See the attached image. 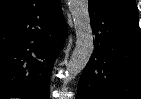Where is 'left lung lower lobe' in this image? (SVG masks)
Wrapping results in <instances>:
<instances>
[{
	"label": "left lung lower lobe",
	"instance_id": "0a47b994",
	"mask_svg": "<svg viewBox=\"0 0 141 99\" xmlns=\"http://www.w3.org/2000/svg\"><path fill=\"white\" fill-rule=\"evenodd\" d=\"M94 51L77 99H141V42L135 9L89 1Z\"/></svg>",
	"mask_w": 141,
	"mask_h": 99
}]
</instances>
